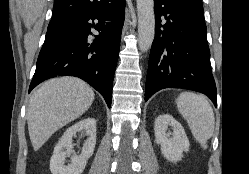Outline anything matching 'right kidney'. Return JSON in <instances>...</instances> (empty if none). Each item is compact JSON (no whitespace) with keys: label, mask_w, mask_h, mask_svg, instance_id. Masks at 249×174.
<instances>
[{"label":"right kidney","mask_w":249,"mask_h":174,"mask_svg":"<svg viewBox=\"0 0 249 174\" xmlns=\"http://www.w3.org/2000/svg\"><path fill=\"white\" fill-rule=\"evenodd\" d=\"M77 132H84L88 139L84 142L80 155L73 151L72 137ZM96 144V120L94 118L83 119L69 127L59 142L56 144L50 159V171L52 174H82L88 159L92 156ZM71 164L65 165V158L71 155Z\"/></svg>","instance_id":"1"}]
</instances>
